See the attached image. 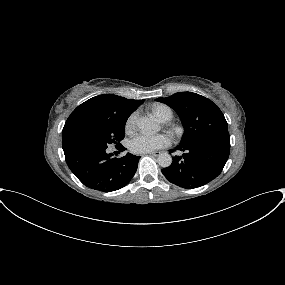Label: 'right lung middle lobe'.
<instances>
[{
    "instance_id": "dd1d6c3e",
    "label": "right lung middle lobe",
    "mask_w": 285,
    "mask_h": 285,
    "mask_svg": "<svg viewBox=\"0 0 285 285\" xmlns=\"http://www.w3.org/2000/svg\"><path fill=\"white\" fill-rule=\"evenodd\" d=\"M127 118L108 119L83 133L75 146H95L107 148L109 144H117L125 136Z\"/></svg>"
}]
</instances>
